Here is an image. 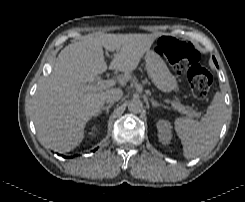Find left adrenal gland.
Here are the masks:
<instances>
[{"label":"left adrenal gland","mask_w":245,"mask_h":202,"mask_svg":"<svg viewBox=\"0 0 245 202\" xmlns=\"http://www.w3.org/2000/svg\"><path fill=\"white\" fill-rule=\"evenodd\" d=\"M151 103H152V106L153 107H164V108H167L166 106H164L163 104H159L157 103L155 100L151 99Z\"/></svg>","instance_id":"obj_1"}]
</instances>
